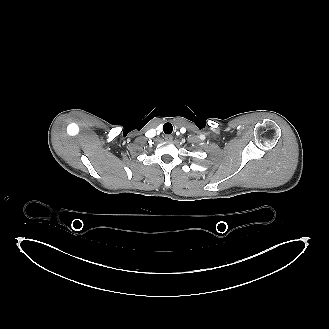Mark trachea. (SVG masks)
Instances as JSON below:
<instances>
[{
  "mask_svg": "<svg viewBox=\"0 0 329 329\" xmlns=\"http://www.w3.org/2000/svg\"><path fill=\"white\" fill-rule=\"evenodd\" d=\"M163 131H164V133L165 134H171L172 133V131H173V126H172V124L171 123H165L164 125H163Z\"/></svg>",
  "mask_w": 329,
  "mask_h": 329,
  "instance_id": "1",
  "label": "trachea"
}]
</instances>
